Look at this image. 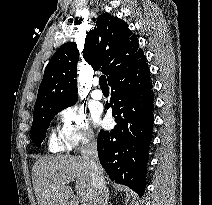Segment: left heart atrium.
Wrapping results in <instances>:
<instances>
[{"mask_svg": "<svg viewBox=\"0 0 212 205\" xmlns=\"http://www.w3.org/2000/svg\"><path fill=\"white\" fill-rule=\"evenodd\" d=\"M95 121H96L97 123H99V122H100V120H99V118H98V116H97V115L95 116Z\"/></svg>", "mask_w": 212, "mask_h": 205, "instance_id": "1", "label": "left heart atrium"}]
</instances>
